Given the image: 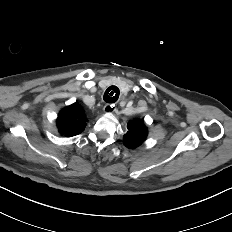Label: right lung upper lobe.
<instances>
[{"label":"right lung upper lobe","instance_id":"1","mask_svg":"<svg viewBox=\"0 0 232 232\" xmlns=\"http://www.w3.org/2000/svg\"><path fill=\"white\" fill-rule=\"evenodd\" d=\"M85 112L76 102L62 109L57 118V127L61 135L72 137L80 134L86 125Z\"/></svg>","mask_w":232,"mask_h":232}]
</instances>
